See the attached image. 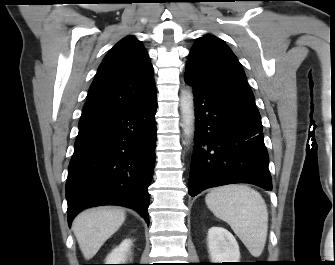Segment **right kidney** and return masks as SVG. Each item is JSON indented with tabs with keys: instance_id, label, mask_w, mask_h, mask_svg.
<instances>
[{
	"instance_id": "right-kidney-1",
	"label": "right kidney",
	"mask_w": 335,
	"mask_h": 265,
	"mask_svg": "<svg viewBox=\"0 0 335 265\" xmlns=\"http://www.w3.org/2000/svg\"><path fill=\"white\" fill-rule=\"evenodd\" d=\"M131 245L132 241L130 239L123 240L120 245L114 248L106 257V264H124L130 252Z\"/></svg>"
}]
</instances>
